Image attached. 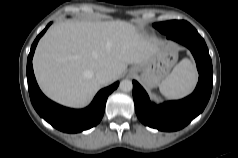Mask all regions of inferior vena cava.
I'll return each instance as SVG.
<instances>
[{
	"label": "inferior vena cava",
	"mask_w": 238,
	"mask_h": 158,
	"mask_svg": "<svg viewBox=\"0 0 238 158\" xmlns=\"http://www.w3.org/2000/svg\"><path fill=\"white\" fill-rule=\"evenodd\" d=\"M95 77L98 83L101 85H107L111 81V74L110 71L107 69H101L97 71Z\"/></svg>",
	"instance_id": "1"
}]
</instances>
